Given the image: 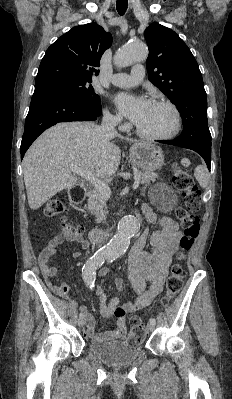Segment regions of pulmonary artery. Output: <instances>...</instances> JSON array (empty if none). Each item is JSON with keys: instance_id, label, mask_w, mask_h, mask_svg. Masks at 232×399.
Segmentation results:
<instances>
[{"instance_id": "1", "label": "pulmonary artery", "mask_w": 232, "mask_h": 399, "mask_svg": "<svg viewBox=\"0 0 232 399\" xmlns=\"http://www.w3.org/2000/svg\"><path fill=\"white\" fill-rule=\"evenodd\" d=\"M143 69V63H136L135 69H131L130 73H120L119 77H107L106 82L117 84V90H133V88H137V85L133 84H143L144 82L141 71Z\"/></svg>"}]
</instances>
